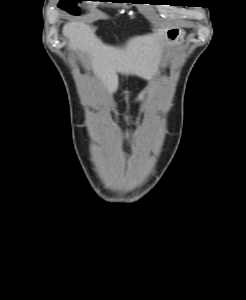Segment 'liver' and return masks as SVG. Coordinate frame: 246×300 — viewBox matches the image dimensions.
Wrapping results in <instances>:
<instances>
[{"instance_id": "1", "label": "liver", "mask_w": 246, "mask_h": 300, "mask_svg": "<svg viewBox=\"0 0 246 300\" xmlns=\"http://www.w3.org/2000/svg\"><path fill=\"white\" fill-rule=\"evenodd\" d=\"M63 35L69 39L71 49L89 56L90 69L110 95L118 88L117 73L136 75L145 80L157 73L164 31L133 37L124 47L105 45L89 25L78 21L67 22L63 27Z\"/></svg>"}]
</instances>
